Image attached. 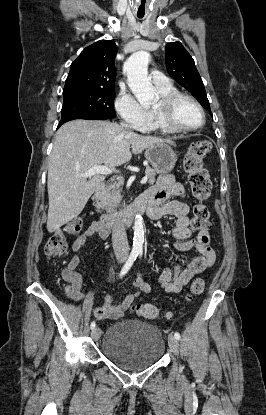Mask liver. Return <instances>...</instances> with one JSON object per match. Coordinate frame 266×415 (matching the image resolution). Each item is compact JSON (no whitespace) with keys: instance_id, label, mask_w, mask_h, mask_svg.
<instances>
[{"instance_id":"6515ba94","label":"liver","mask_w":266,"mask_h":415,"mask_svg":"<svg viewBox=\"0 0 266 415\" xmlns=\"http://www.w3.org/2000/svg\"><path fill=\"white\" fill-rule=\"evenodd\" d=\"M169 140L143 136L109 121L74 120L62 125L55 136L48 166L49 209L47 230L52 233L77 217L97 186L104 180L78 177L96 165L114 169L155 143ZM132 149V151L130 150Z\"/></svg>"}]
</instances>
